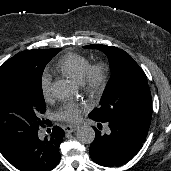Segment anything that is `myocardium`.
Listing matches in <instances>:
<instances>
[{"mask_svg":"<svg viewBox=\"0 0 171 171\" xmlns=\"http://www.w3.org/2000/svg\"><path fill=\"white\" fill-rule=\"evenodd\" d=\"M108 79V70L102 63L90 65L80 84L88 92H96L104 88Z\"/></svg>","mask_w":171,"mask_h":171,"instance_id":"1","label":"myocardium"}]
</instances>
